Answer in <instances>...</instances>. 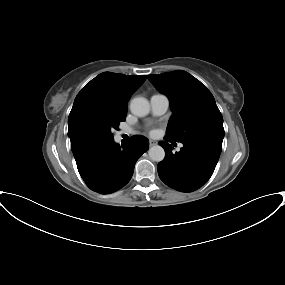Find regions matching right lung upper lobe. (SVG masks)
<instances>
[{"instance_id":"1","label":"right lung upper lobe","mask_w":285,"mask_h":285,"mask_svg":"<svg viewBox=\"0 0 285 285\" xmlns=\"http://www.w3.org/2000/svg\"><path fill=\"white\" fill-rule=\"evenodd\" d=\"M146 77L104 72L87 83L76 96L68 118L71 149L81 144L77 128L83 116L96 114L125 118L128 100Z\"/></svg>"}]
</instances>
